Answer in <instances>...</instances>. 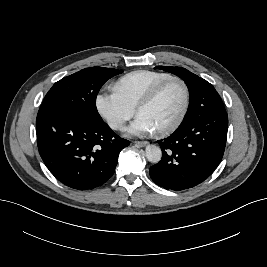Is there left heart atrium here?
<instances>
[{"label": "left heart atrium", "mask_w": 267, "mask_h": 267, "mask_svg": "<svg viewBox=\"0 0 267 267\" xmlns=\"http://www.w3.org/2000/svg\"><path fill=\"white\" fill-rule=\"evenodd\" d=\"M154 131L153 124L145 116L139 114L127 130L128 134L134 136H144Z\"/></svg>", "instance_id": "obj_1"}]
</instances>
